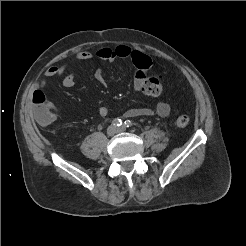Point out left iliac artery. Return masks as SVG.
<instances>
[{
  "label": "left iliac artery",
  "mask_w": 246,
  "mask_h": 246,
  "mask_svg": "<svg viewBox=\"0 0 246 246\" xmlns=\"http://www.w3.org/2000/svg\"><path fill=\"white\" fill-rule=\"evenodd\" d=\"M124 126H125V127H131V126H132V122H131L130 120H126V121L124 122Z\"/></svg>",
  "instance_id": "obj_1"
}]
</instances>
